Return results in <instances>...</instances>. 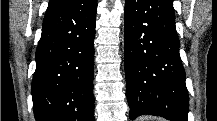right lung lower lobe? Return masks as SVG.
Instances as JSON below:
<instances>
[{
	"instance_id": "obj_1",
	"label": "right lung lower lobe",
	"mask_w": 217,
	"mask_h": 121,
	"mask_svg": "<svg viewBox=\"0 0 217 121\" xmlns=\"http://www.w3.org/2000/svg\"><path fill=\"white\" fill-rule=\"evenodd\" d=\"M97 0L49 3L37 47L32 99L36 121H93Z\"/></svg>"
}]
</instances>
